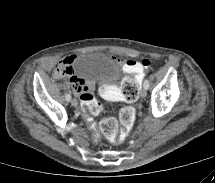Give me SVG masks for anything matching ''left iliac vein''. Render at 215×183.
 <instances>
[{
    "instance_id": "4c4485c4",
    "label": "left iliac vein",
    "mask_w": 215,
    "mask_h": 183,
    "mask_svg": "<svg viewBox=\"0 0 215 183\" xmlns=\"http://www.w3.org/2000/svg\"><path fill=\"white\" fill-rule=\"evenodd\" d=\"M147 95V90L146 88H143L141 91H140V96L141 97H145Z\"/></svg>"
}]
</instances>
